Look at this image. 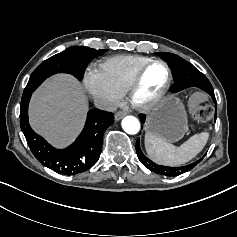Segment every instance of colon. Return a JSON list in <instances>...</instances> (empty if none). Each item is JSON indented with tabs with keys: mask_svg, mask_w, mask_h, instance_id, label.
<instances>
[{
	"mask_svg": "<svg viewBox=\"0 0 237 237\" xmlns=\"http://www.w3.org/2000/svg\"><path fill=\"white\" fill-rule=\"evenodd\" d=\"M206 99L207 94L204 92H197L190 97L188 107L193 120L197 122H207L212 119L214 110L210 105L203 104Z\"/></svg>",
	"mask_w": 237,
	"mask_h": 237,
	"instance_id": "obj_1",
	"label": "colon"
}]
</instances>
